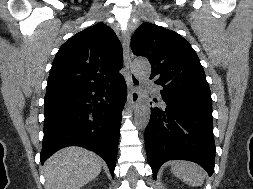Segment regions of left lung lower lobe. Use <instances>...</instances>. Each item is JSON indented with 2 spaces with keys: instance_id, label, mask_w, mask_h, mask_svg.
Listing matches in <instances>:
<instances>
[{
  "instance_id": "obj_1",
  "label": "left lung lower lobe",
  "mask_w": 253,
  "mask_h": 189,
  "mask_svg": "<svg viewBox=\"0 0 253 189\" xmlns=\"http://www.w3.org/2000/svg\"><path fill=\"white\" fill-rule=\"evenodd\" d=\"M160 93L163 105L151 108L145 129L146 153L154 179L160 166L174 159L196 162L212 175L215 166L212 107Z\"/></svg>"
}]
</instances>
